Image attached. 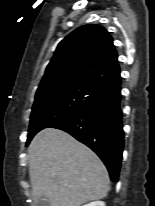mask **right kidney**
Listing matches in <instances>:
<instances>
[{
    "label": "right kidney",
    "instance_id": "ca27d5eb",
    "mask_svg": "<svg viewBox=\"0 0 155 206\" xmlns=\"http://www.w3.org/2000/svg\"><path fill=\"white\" fill-rule=\"evenodd\" d=\"M84 206H105V203L102 201H95V202H91L89 204H86Z\"/></svg>",
    "mask_w": 155,
    "mask_h": 206
}]
</instances>
